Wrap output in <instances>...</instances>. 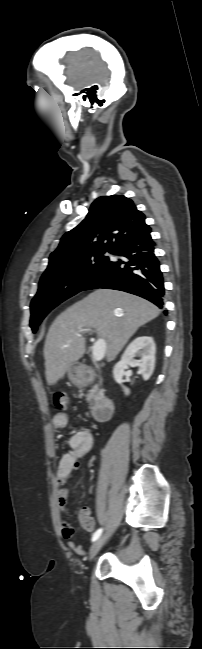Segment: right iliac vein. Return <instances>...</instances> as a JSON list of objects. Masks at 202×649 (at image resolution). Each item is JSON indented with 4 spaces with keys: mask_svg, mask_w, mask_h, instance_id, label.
I'll return each mask as SVG.
<instances>
[{
    "mask_svg": "<svg viewBox=\"0 0 202 649\" xmlns=\"http://www.w3.org/2000/svg\"><path fill=\"white\" fill-rule=\"evenodd\" d=\"M107 538H108V533H105L94 542V544L90 549V559H92L99 552V550L101 549L102 545L107 540Z\"/></svg>",
    "mask_w": 202,
    "mask_h": 649,
    "instance_id": "right-iliac-vein-1",
    "label": "right iliac vein"
}]
</instances>
